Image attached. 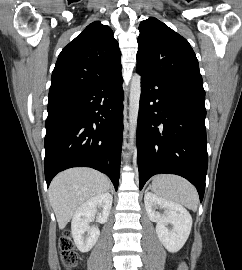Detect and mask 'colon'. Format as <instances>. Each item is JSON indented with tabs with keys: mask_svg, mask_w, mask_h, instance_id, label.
Wrapping results in <instances>:
<instances>
[{
	"mask_svg": "<svg viewBox=\"0 0 242 270\" xmlns=\"http://www.w3.org/2000/svg\"><path fill=\"white\" fill-rule=\"evenodd\" d=\"M59 248L61 259L66 270H70L79 263L80 256L76 251L74 243L68 233L60 238Z\"/></svg>",
	"mask_w": 242,
	"mask_h": 270,
	"instance_id": "5ec220e1",
	"label": "colon"
}]
</instances>
